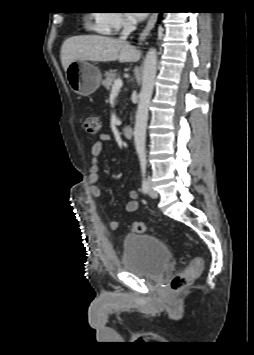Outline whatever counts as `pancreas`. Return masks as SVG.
<instances>
[{
    "mask_svg": "<svg viewBox=\"0 0 254 355\" xmlns=\"http://www.w3.org/2000/svg\"><path fill=\"white\" fill-rule=\"evenodd\" d=\"M104 76H105V79L102 81V85L107 90H109L118 75L116 73V70H110V71L105 72Z\"/></svg>",
    "mask_w": 254,
    "mask_h": 355,
    "instance_id": "1",
    "label": "pancreas"
}]
</instances>
